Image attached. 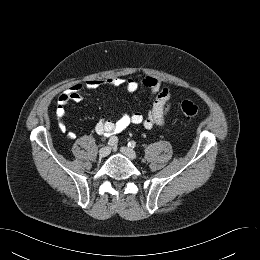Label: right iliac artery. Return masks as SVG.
Wrapping results in <instances>:
<instances>
[{
	"label": "right iliac artery",
	"instance_id": "obj_1",
	"mask_svg": "<svg viewBox=\"0 0 260 260\" xmlns=\"http://www.w3.org/2000/svg\"><path fill=\"white\" fill-rule=\"evenodd\" d=\"M118 143V139H117V137H111L110 139H109V141H108V145L109 146H115L116 144Z\"/></svg>",
	"mask_w": 260,
	"mask_h": 260
}]
</instances>
